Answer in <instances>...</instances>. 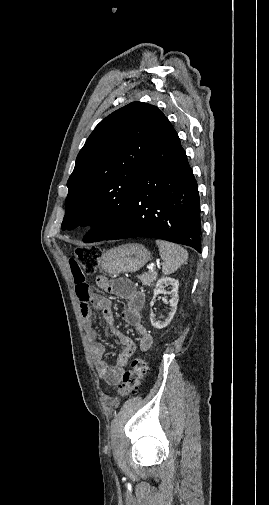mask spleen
Wrapping results in <instances>:
<instances>
[{
    "instance_id": "obj_1",
    "label": "spleen",
    "mask_w": 269,
    "mask_h": 505,
    "mask_svg": "<svg viewBox=\"0 0 269 505\" xmlns=\"http://www.w3.org/2000/svg\"><path fill=\"white\" fill-rule=\"evenodd\" d=\"M155 242L163 260V274H172L188 259L187 251L180 245L163 240H156Z\"/></svg>"
}]
</instances>
